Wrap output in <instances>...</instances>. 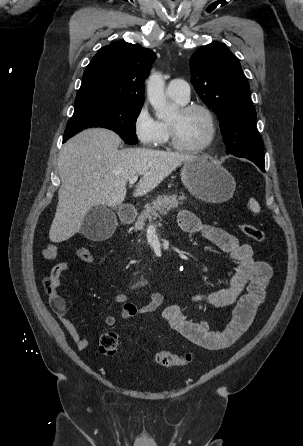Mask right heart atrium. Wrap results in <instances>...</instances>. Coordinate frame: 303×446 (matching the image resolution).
I'll return each mask as SVG.
<instances>
[{"mask_svg":"<svg viewBox=\"0 0 303 446\" xmlns=\"http://www.w3.org/2000/svg\"><path fill=\"white\" fill-rule=\"evenodd\" d=\"M133 130L138 141L146 147L158 145L163 138L160 122L154 118L147 103H143L133 118Z\"/></svg>","mask_w":303,"mask_h":446,"instance_id":"right-heart-atrium-1","label":"right heart atrium"}]
</instances>
